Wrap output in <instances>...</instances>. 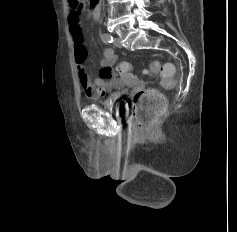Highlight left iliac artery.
Instances as JSON below:
<instances>
[{"instance_id":"44dca946","label":"left iliac artery","mask_w":237,"mask_h":232,"mask_svg":"<svg viewBox=\"0 0 237 232\" xmlns=\"http://www.w3.org/2000/svg\"><path fill=\"white\" fill-rule=\"evenodd\" d=\"M105 42L112 43L113 42V37L110 34H105L103 37Z\"/></svg>"}]
</instances>
